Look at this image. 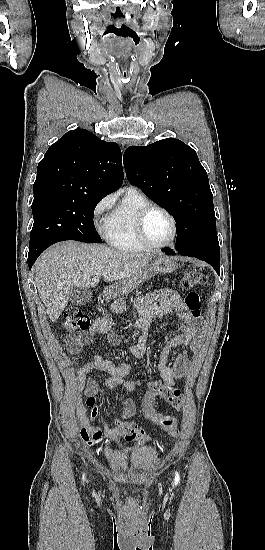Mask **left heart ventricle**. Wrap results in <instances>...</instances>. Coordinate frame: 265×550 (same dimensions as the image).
I'll return each instance as SVG.
<instances>
[{
	"label": "left heart ventricle",
	"mask_w": 265,
	"mask_h": 550,
	"mask_svg": "<svg viewBox=\"0 0 265 550\" xmlns=\"http://www.w3.org/2000/svg\"><path fill=\"white\" fill-rule=\"evenodd\" d=\"M145 230L151 243H166L172 235L171 221L163 212L152 211L146 219Z\"/></svg>",
	"instance_id": "b2bd125f"
}]
</instances>
